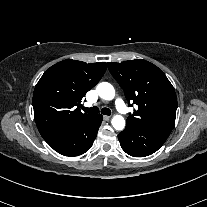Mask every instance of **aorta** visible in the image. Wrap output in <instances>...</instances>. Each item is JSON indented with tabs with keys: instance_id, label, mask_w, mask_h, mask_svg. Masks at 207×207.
<instances>
[{
	"instance_id": "aorta-1",
	"label": "aorta",
	"mask_w": 207,
	"mask_h": 207,
	"mask_svg": "<svg viewBox=\"0 0 207 207\" xmlns=\"http://www.w3.org/2000/svg\"><path fill=\"white\" fill-rule=\"evenodd\" d=\"M97 92L104 100H112L115 97L114 87L108 82H102L97 85ZM112 125L115 130L121 131L125 127V119L121 115H115L112 118Z\"/></svg>"
}]
</instances>
